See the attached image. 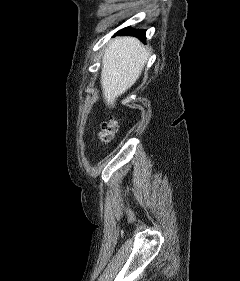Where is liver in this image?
I'll return each mask as SVG.
<instances>
[{"mask_svg": "<svg viewBox=\"0 0 240 281\" xmlns=\"http://www.w3.org/2000/svg\"><path fill=\"white\" fill-rule=\"evenodd\" d=\"M150 54V49L135 37H116L108 43L101 71L106 105L114 107L116 99L131 88L141 75Z\"/></svg>", "mask_w": 240, "mask_h": 281, "instance_id": "obj_1", "label": "liver"}]
</instances>
